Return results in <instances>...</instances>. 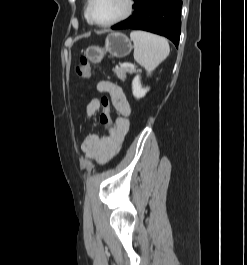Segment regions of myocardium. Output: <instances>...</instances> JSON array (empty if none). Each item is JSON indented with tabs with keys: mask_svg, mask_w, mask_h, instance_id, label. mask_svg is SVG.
<instances>
[{
	"mask_svg": "<svg viewBox=\"0 0 247 265\" xmlns=\"http://www.w3.org/2000/svg\"><path fill=\"white\" fill-rule=\"evenodd\" d=\"M125 2H126V7H125L124 12L121 15H119L118 17L114 18L113 20L109 22L100 23V22L95 21L92 17L91 11H92L94 0H88V5L86 9L87 19L91 24L97 27H101V28H109L117 24H120L124 22L125 20H127L133 14V11L135 8V0H125Z\"/></svg>",
	"mask_w": 247,
	"mask_h": 265,
	"instance_id": "myocardium-1",
	"label": "myocardium"
}]
</instances>
